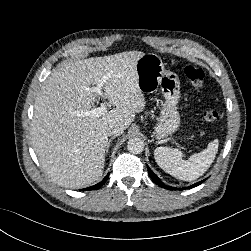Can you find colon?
I'll list each match as a JSON object with an SVG mask.
<instances>
[{"label": "colon", "mask_w": 251, "mask_h": 251, "mask_svg": "<svg viewBox=\"0 0 251 251\" xmlns=\"http://www.w3.org/2000/svg\"><path fill=\"white\" fill-rule=\"evenodd\" d=\"M184 72L195 88L200 89L203 86L205 72L202 68L189 65ZM202 118L207 123H213L218 119V112L213 108H205L202 110Z\"/></svg>", "instance_id": "5ec220e1"}]
</instances>
